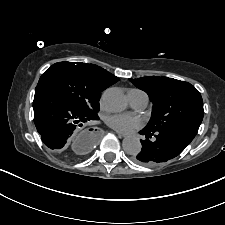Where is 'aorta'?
<instances>
[{
	"label": "aorta",
	"instance_id": "aorta-1",
	"mask_svg": "<svg viewBox=\"0 0 225 225\" xmlns=\"http://www.w3.org/2000/svg\"><path fill=\"white\" fill-rule=\"evenodd\" d=\"M103 103L111 112H121L127 107V98L120 88H108L103 94ZM123 150L130 155L141 151L142 145L137 137H126L122 142Z\"/></svg>",
	"mask_w": 225,
	"mask_h": 225
}]
</instances>
